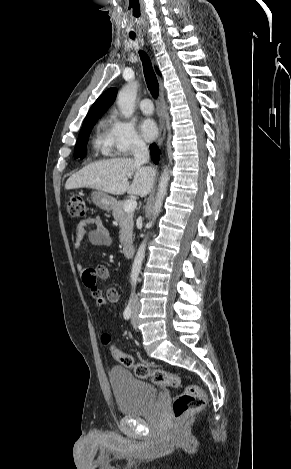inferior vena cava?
Returning a JSON list of instances; mask_svg holds the SVG:
<instances>
[{
    "mask_svg": "<svg viewBox=\"0 0 291 469\" xmlns=\"http://www.w3.org/2000/svg\"><path fill=\"white\" fill-rule=\"evenodd\" d=\"M134 160L138 163L149 162V150L146 143L141 138H136L133 146ZM132 306H138L139 302L136 296L131 299Z\"/></svg>",
    "mask_w": 291,
    "mask_h": 469,
    "instance_id": "obj_1",
    "label": "inferior vena cava"
}]
</instances>
